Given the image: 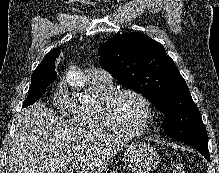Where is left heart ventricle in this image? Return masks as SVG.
<instances>
[{"instance_id": "obj_1", "label": "left heart ventricle", "mask_w": 219, "mask_h": 173, "mask_svg": "<svg viewBox=\"0 0 219 173\" xmlns=\"http://www.w3.org/2000/svg\"><path fill=\"white\" fill-rule=\"evenodd\" d=\"M115 115L123 129L136 131L144 125L146 108L138 97L126 94L118 100L115 106Z\"/></svg>"}]
</instances>
